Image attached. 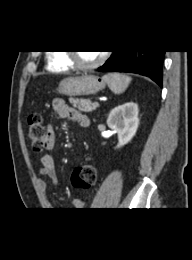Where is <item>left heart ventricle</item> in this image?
<instances>
[{"mask_svg":"<svg viewBox=\"0 0 192 260\" xmlns=\"http://www.w3.org/2000/svg\"><path fill=\"white\" fill-rule=\"evenodd\" d=\"M78 59L83 64H91L101 56V52L96 51H81L77 53Z\"/></svg>","mask_w":192,"mask_h":260,"instance_id":"1","label":"left heart ventricle"}]
</instances>
